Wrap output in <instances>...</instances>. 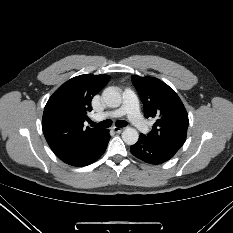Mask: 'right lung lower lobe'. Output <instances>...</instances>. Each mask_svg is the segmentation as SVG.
<instances>
[{"instance_id": "1", "label": "right lung lower lobe", "mask_w": 233, "mask_h": 233, "mask_svg": "<svg viewBox=\"0 0 233 233\" xmlns=\"http://www.w3.org/2000/svg\"><path fill=\"white\" fill-rule=\"evenodd\" d=\"M109 139V130L105 129L83 151L67 160H64V162L77 167L87 166L95 162L105 152Z\"/></svg>"}]
</instances>
